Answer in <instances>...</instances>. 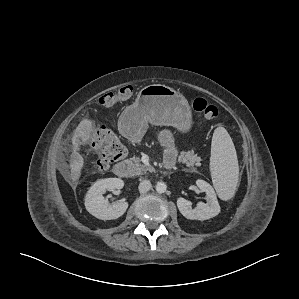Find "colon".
Segmentation results:
<instances>
[{
    "mask_svg": "<svg viewBox=\"0 0 299 299\" xmlns=\"http://www.w3.org/2000/svg\"><path fill=\"white\" fill-rule=\"evenodd\" d=\"M133 92L131 86L120 88L117 92H109L103 94L99 98V103L104 107H113L116 104L128 100ZM193 109L202 114L208 120H214L219 116V110L216 106L208 103L203 98H196L192 103ZM90 143L99 150L97 159V168L101 171L109 169V167L121 159L126 150L119 142L114 133L105 125L98 126L89 139Z\"/></svg>",
    "mask_w": 299,
    "mask_h": 299,
    "instance_id": "1",
    "label": "colon"
}]
</instances>
